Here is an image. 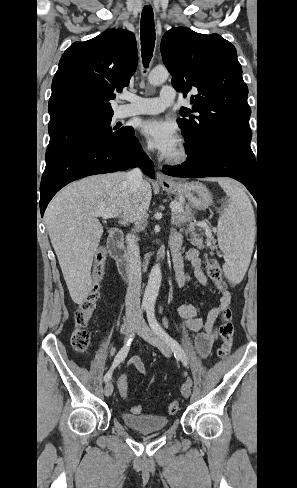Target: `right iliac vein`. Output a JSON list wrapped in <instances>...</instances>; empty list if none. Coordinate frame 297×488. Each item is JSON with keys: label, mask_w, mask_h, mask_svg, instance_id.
Instances as JSON below:
<instances>
[{"label": "right iliac vein", "mask_w": 297, "mask_h": 488, "mask_svg": "<svg viewBox=\"0 0 297 488\" xmlns=\"http://www.w3.org/2000/svg\"><path fill=\"white\" fill-rule=\"evenodd\" d=\"M137 326V322L135 319H130L126 323V332H125V342L131 337L133 331ZM113 392V385L111 382H107L104 387V394L106 396H110Z\"/></svg>", "instance_id": "obj_1"}]
</instances>
